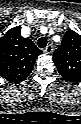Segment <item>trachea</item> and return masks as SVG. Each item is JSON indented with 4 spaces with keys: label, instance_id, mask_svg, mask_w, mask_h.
Masks as SVG:
<instances>
[{
    "label": "trachea",
    "instance_id": "1",
    "mask_svg": "<svg viewBox=\"0 0 81 124\" xmlns=\"http://www.w3.org/2000/svg\"><path fill=\"white\" fill-rule=\"evenodd\" d=\"M37 43L40 48H45L47 46V39L45 37H41L38 39Z\"/></svg>",
    "mask_w": 81,
    "mask_h": 124
}]
</instances>
